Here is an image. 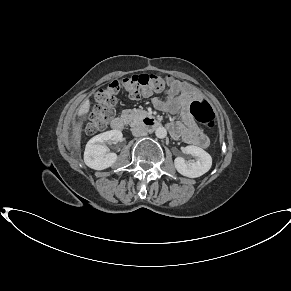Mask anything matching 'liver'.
I'll use <instances>...</instances> for the list:
<instances>
[{
	"instance_id": "1",
	"label": "liver",
	"mask_w": 291,
	"mask_h": 291,
	"mask_svg": "<svg viewBox=\"0 0 291 291\" xmlns=\"http://www.w3.org/2000/svg\"><path fill=\"white\" fill-rule=\"evenodd\" d=\"M90 110V101L86 100L80 107L78 110V117L80 119V117H83L84 119H86V115L88 114Z\"/></svg>"
}]
</instances>
